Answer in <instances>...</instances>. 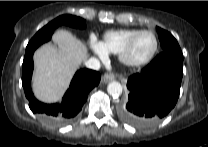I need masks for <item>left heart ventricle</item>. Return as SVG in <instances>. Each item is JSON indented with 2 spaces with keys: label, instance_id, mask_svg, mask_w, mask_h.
<instances>
[{
  "label": "left heart ventricle",
  "instance_id": "b2bd125f",
  "mask_svg": "<svg viewBox=\"0 0 208 147\" xmlns=\"http://www.w3.org/2000/svg\"><path fill=\"white\" fill-rule=\"evenodd\" d=\"M155 41L152 35L143 34L135 42L130 52V59L141 61L146 59L153 51Z\"/></svg>",
  "mask_w": 208,
  "mask_h": 147
}]
</instances>
